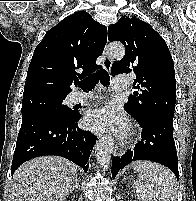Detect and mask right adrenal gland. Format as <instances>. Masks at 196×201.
Wrapping results in <instances>:
<instances>
[{"instance_id":"obj_1","label":"right adrenal gland","mask_w":196,"mask_h":201,"mask_svg":"<svg viewBox=\"0 0 196 201\" xmlns=\"http://www.w3.org/2000/svg\"><path fill=\"white\" fill-rule=\"evenodd\" d=\"M75 189H80L78 176L76 175L75 182L72 185L70 192L72 193Z\"/></svg>"}]
</instances>
